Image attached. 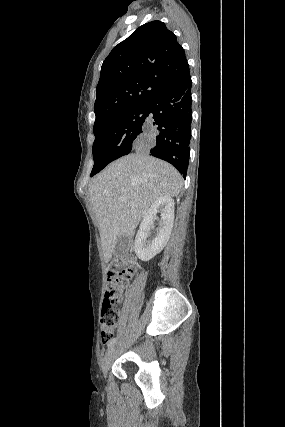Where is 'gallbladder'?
Segmentation results:
<instances>
[{
    "instance_id": "obj_1",
    "label": "gallbladder",
    "mask_w": 285,
    "mask_h": 427,
    "mask_svg": "<svg viewBox=\"0 0 285 427\" xmlns=\"http://www.w3.org/2000/svg\"><path fill=\"white\" fill-rule=\"evenodd\" d=\"M125 248V239L123 237H119L115 244V251L117 253H121Z\"/></svg>"
}]
</instances>
